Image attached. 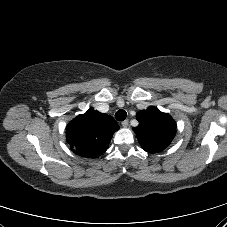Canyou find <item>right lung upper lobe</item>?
Masks as SVG:
<instances>
[{
	"label": "right lung upper lobe",
	"mask_w": 227,
	"mask_h": 227,
	"mask_svg": "<svg viewBox=\"0 0 227 227\" xmlns=\"http://www.w3.org/2000/svg\"><path fill=\"white\" fill-rule=\"evenodd\" d=\"M119 128L113 117L90 108L67 125V143L75 154L97 158L108 149L113 133Z\"/></svg>",
	"instance_id": "cb5924a9"
}]
</instances>
